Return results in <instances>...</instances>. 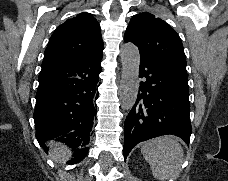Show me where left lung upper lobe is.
Wrapping results in <instances>:
<instances>
[{
	"instance_id": "left-lung-upper-lobe-1",
	"label": "left lung upper lobe",
	"mask_w": 228,
	"mask_h": 181,
	"mask_svg": "<svg viewBox=\"0 0 228 181\" xmlns=\"http://www.w3.org/2000/svg\"><path fill=\"white\" fill-rule=\"evenodd\" d=\"M125 42L134 43L140 55L162 59L186 68L181 39L165 21L143 12L134 15L126 29Z\"/></svg>"
}]
</instances>
